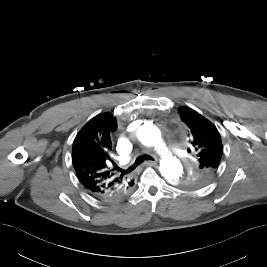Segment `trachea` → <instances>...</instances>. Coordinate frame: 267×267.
Here are the masks:
<instances>
[{
  "mask_svg": "<svg viewBox=\"0 0 267 267\" xmlns=\"http://www.w3.org/2000/svg\"><path fill=\"white\" fill-rule=\"evenodd\" d=\"M144 160H147V161H153L154 158L151 157L150 155H141V156H138L134 162V164L132 166H130L127 170H123L121 168L118 169V171H120L122 174H127V173H130L132 172L133 170H135V168L137 166H139Z\"/></svg>",
  "mask_w": 267,
  "mask_h": 267,
  "instance_id": "1",
  "label": "trachea"
}]
</instances>
